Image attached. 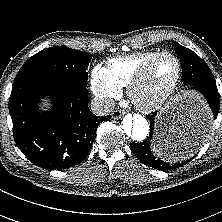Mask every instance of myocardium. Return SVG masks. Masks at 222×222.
Wrapping results in <instances>:
<instances>
[{
    "label": "myocardium",
    "mask_w": 222,
    "mask_h": 222,
    "mask_svg": "<svg viewBox=\"0 0 222 222\" xmlns=\"http://www.w3.org/2000/svg\"><path fill=\"white\" fill-rule=\"evenodd\" d=\"M171 57L175 60L177 65V71L176 75L173 79V81L159 94L156 96L150 98V99H144L140 95V89L147 80L149 73L154 66V64L162 57ZM182 76V64L180 59L177 55H175L172 52L169 51H162L156 54L152 59H150L137 73L135 78L132 80L129 88H128V94L132 102L140 109L142 110H153L161 106L163 103H165L171 95L175 92V90L178 87V84L180 82Z\"/></svg>",
    "instance_id": "myocardium-1"
}]
</instances>
